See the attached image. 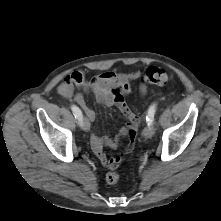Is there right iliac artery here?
<instances>
[{
  "mask_svg": "<svg viewBox=\"0 0 221 221\" xmlns=\"http://www.w3.org/2000/svg\"><path fill=\"white\" fill-rule=\"evenodd\" d=\"M71 109L73 111V114H74L75 118L78 119V121L80 123L81 119H82V112H81V110L76 105H72Z\"/></svg>",
  "mask_w": 221,
  "mask_h": 221,
  "instance_id": "1",
  "label": "right iliac artery"
}]
</instances>
